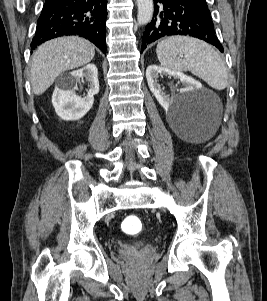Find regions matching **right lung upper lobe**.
<instances>
[{"label":"right lung upper lobe","mask_w":267,"mask_h":301,"mask_svg":"<svg viewBox=\"0 0 267 301\" xmlns=\"http://www.w3.org/2000/svg\"><path fill=\"white\" fill-rule=\"evenodd\" d=\"M51 1H53V0H46V2H51Z\"/></svg>","instance_id":"obj_1"}]
</instances>
